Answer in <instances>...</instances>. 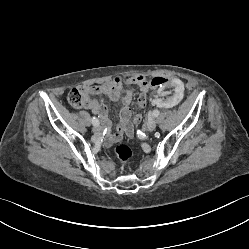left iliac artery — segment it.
<instances>
[{"label":"left iliac artery","instance_id":"44dca946","mask_svg":"<svg viewBox=\"0 0 249 249\" xmlns=\"http://www.w3.org/2000/svg\"><path fill=\"white\" fill-rule=\"evenodd\" d=\"M158 115H159V111H158V110H154V111L152 112V116L158 117Z\"/></svg>","mask_w":249,"mask_h":249}]
</instances>
